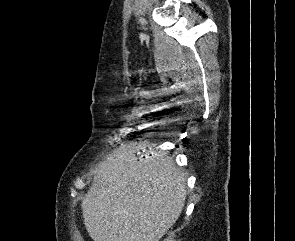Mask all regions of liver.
I'll use <instances>...</instances> for the list:
<instances>
[{
    "mask_svg": "<svg viewBox=\"0 0 295 241\" xmlns=\"http://www.w3.org/2000/svg\"><path fill=\"white\" fill-rule=\"evenodd\" d=\"M185 200L184 172L166 152L140 142L119 147L100 164L81 209L94 241H159Z\"/></svg>",
    "mask_w": 295,
    "mask_h": 241,
    "instance_id": "liver-1",
    "label": "liver"
}]
</instances>
